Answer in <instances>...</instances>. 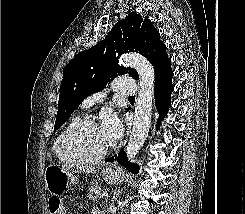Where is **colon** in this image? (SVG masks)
Wrapping results in <instances>:
<instances>
[{
    "instance_id": "1",
    "label": "colon",
    "mask_w": 245,
    "mask_h": 214,
    "mask_svg": "<svg viewBox=\"0 0 245 214\" xmlns=\"http://www.w3.org/2000/svg\"><path fill=\"white\" fill-rule=\"evenodd\" d=\"M49 209L51 214H65L61 202L57 198H51L49 200Z\"/></svg>"
}]
</instances>
